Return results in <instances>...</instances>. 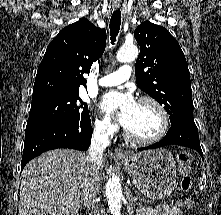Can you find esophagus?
<instances>
[{
    "label": "esophagus",
    "instance_id": "34e87169",
    "mask_svg": "<svg viewBox=\"0 0 221 215\" xmlns=\"http://www.w3.org/2000/svg\"><path fill=\"white\" fill-rule=\"evenodd\" d=\"M114 7H115V9H118V8H119V5H115ZM114 156H115V157H126L127 154H126L122 149H120V148H115V150H114Z\"/></svg>",
    "mask_w": 221,
    "mask_h": 215
}]
</instances>
